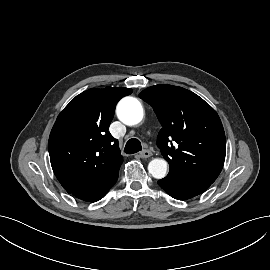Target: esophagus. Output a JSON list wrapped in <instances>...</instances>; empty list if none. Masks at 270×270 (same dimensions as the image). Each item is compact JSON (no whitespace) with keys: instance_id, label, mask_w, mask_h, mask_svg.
Returning <instances> with one entry per match:
<instances>
[{"instance_id":"34e87169","label":"esophagus","mask_w":270,"mask_h":270,"mask_svg":"<svg viewBox=\"0 0 270 270\" xmlns=\"http://www.w3.org/2000/svg\"><path fill=\"white\" fill-rule=\"evenodd\" d=\"M139 156L141 157V158H149V157H151L152 156V152L150 151V150H143V151H141L140 153H139Z\"/></svg>"}]
</instances>
